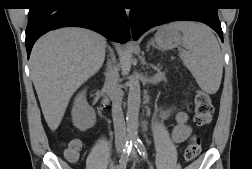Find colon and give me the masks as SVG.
<instances>
[{
  "label": "colon",
  "instance_id": "colon-1",
  "mask_svg": "<svg viewBox=\"0 0 252 169\" xmlns=\"http://www.w3.org/2000/svg\"><path fill=\"white\" fill-rule=\"evenodd\" d=\"M214 107L210 96L198 91L195 96V114L194 123L197 127L208 125L212 119ZM80 146L77 143H69L65 149L64 155L68 161L76 162L79 159ZM201 151L200 138H194L186 147L184 158L187 162H191L197 158Z\"/></svg>",
  "mask_w": 252,
  "mask_h": 169
}]
</instances>
